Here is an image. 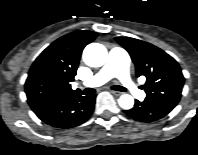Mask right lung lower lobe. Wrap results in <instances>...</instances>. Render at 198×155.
Here are the masks:
<instances>
[{"instance_id": "right-lung-lower-lobe-1", "label": "right lung lower lobe", "mask_w": 198, "mask_h": 155, "mask_svg": "<svg viewBox=\"0 0 198 155\" xmlns=\"http://www.w3.org/2000/svg\"><path fill=\"white\" fill-rule=\"evenodd\" d=\"M96 95L70 97L50 101L32 108L43 122L58 128H70L85 122L94 110Z\"/></svg>"}]
</instances>
